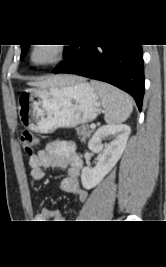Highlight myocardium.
Segmentation results:
<instances>
[{"mask_svg":"<svg viewBox=\"0 0 166 267\" xmlns=\"http://www.w3.org/2000/svg\"><path fill=\"white\" fill-rule=\"evenodd\" d=\"M46 48L50 51L51 55L48 59L38 61L35 58V53L41 49ZM66 54V48L61 44H34L30 47L28 52L29 63L37 68L49 67L59 63Z\"/></svg>","mask_w":166,"mask_h":267,"instance_id":"f54148a6","label":"myocardium"}]
</instances>
